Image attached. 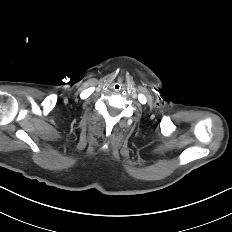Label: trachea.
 <instances>
[{"label":"trachea","instance_id":"3493384b","mask_svg":"<svg viewBox=\"0 0 232 232\" xmlns=\"http://www.w3.org/2000/svg\"><path fill=\"white\" fill-rule=\"evenodd\" d=\"M113 90L116 92H120L123 89V85L120 82H116L112 86Z\"/></svg>","mask_w":232,"mask_h":232}]
</instances>
